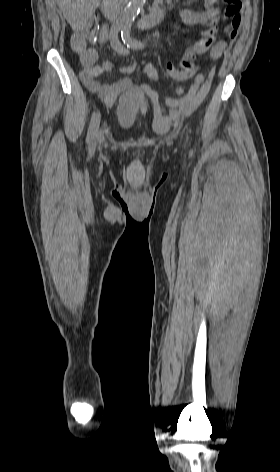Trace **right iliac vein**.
<instances>
[{
	"instance_id": "63e3f726",
	"label": "right iliac vein",
	"mask_w": 280,
	"mask_h": 472,
	"mask_svg": "<svg viewBox=\"0 0 280 472\" xmlns=\"http://www.w3.org/2000/svg\"><path fill=\"white\" fill-rule=\"evenodd\" d=\"M102 138H103V135H102V132L100 131V132L98 133V140L101 141Z\"/></svg>"
}]
</instances>
